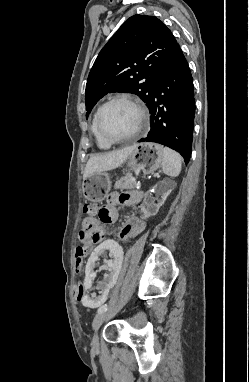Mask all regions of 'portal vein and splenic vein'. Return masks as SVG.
Listing matches in <instances>:
<instances>
[{
    "label": "portal vein and splenic vein",
    "mask_w": 249,
    "mask_h": 382,
    "mask_svg": "<svg viewBox=\"0 0 249 382\" xmlns=\"http://www.w3.org/2000/svg\"><path fill=\"white\" fill-rule=\"evenodd\" d=\"M132 181H136V179L133 177L132 179H131Z\"/></svg>",
    "instance_id": "1"
}]
</instances>
